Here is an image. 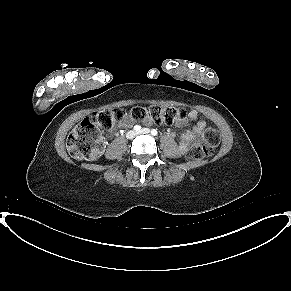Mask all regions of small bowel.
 <instances>
[{
	"label": "small bowel",
	"instance_id": "c3829d8e",
	"mask_svg": "<svg viewBox=\"0 0 291 291\" xmlns=\"http://www.w3.org/2000/svg\"><path fill=\"white\" fill-rule=\"evenodd\" d=\"M188 119L194 122V127L191 131H187L181 134L180 136V148L182 150H186L190 146L199 145L203 142L205 127L206 124L203 120L199 118V114L197 111L192 110L188 114ZM133 124V119L126 115L120 122L119 127L127 128ZM178 125L182 126L185 124V121H178Z\"/></svg>",
	"mask_w": 291,
	"mask_h": 291
}]
</instances>
